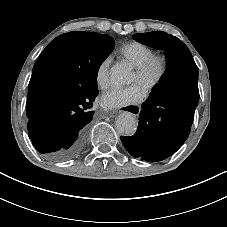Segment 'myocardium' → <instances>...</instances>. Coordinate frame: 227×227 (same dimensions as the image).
<instances>
[{
	"mask_svg": "<svg viewBox=\"0 0 227 227\" xmlns=\"http://www.w3.org/2000/svg\"><path fill=\"white\" fill-rule=\"evenodd\" d=\"M168 66V59L165 55H151L135 71L138 83L146 90H155L164 82L168 73ZM154 70H156V73H154Z\"/></svg>",
	"mask_w": 227,
	"mask_h": 227,
	"instance_id": "f54148a6",
	"label": "myocardium"
}]
</instances>
